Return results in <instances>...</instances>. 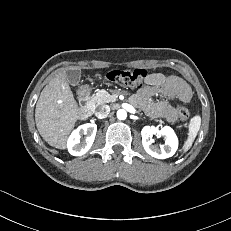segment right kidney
Masks as SVG:
<instances>
[{"mask_svg": "<svg viewBox=\"0 0 231 231\" xmlns=\"http://www.w3.org/2000/svg\"><path fill=\"white\" fill-rule=\"evenodd\" d=\"M97 131L96 124H84L72 132L68 139L67 148L71 155L82 156L91 148ZM83 133L87 137L80 141V134Z\"/></svg>", "mask_w": 231, "mask_h": 231, "instance_id": "right-kidney-1", "label": "right kidney"}]
</instances>
